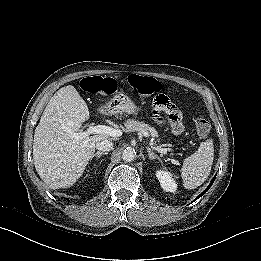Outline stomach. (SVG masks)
I'll use <instances>...</instances> for the list:
<instances>
[{
    "instance_id": "obj_1",
    "label": "stomach",
    "mask_w": 261,
    "mask_h": 261,
    "mask_svg": "<svg viewBox=\"0 0 261 261\" xmlns=\"http://www.w3.org/2000/svg\"><path fill=\"white\" fill-rule=\"evenodd\" d=\"M106 108L128 115H137L141 110L128 96L122 93L113 97Z\"/></svg>"
}]
</instances>
